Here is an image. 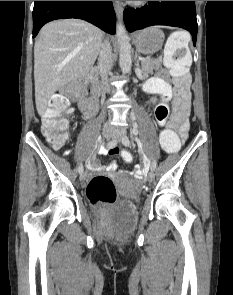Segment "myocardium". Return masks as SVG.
I'll list each match as a JSON object with an SVG mask.
<instances>
[{"instance_id":"1","label":"myocardium","mask_w":233,"mask_h":295,"mask_svg":"<svg viewBox=\"0 0 233 295\" xmlns=\"http://www.w3.org/2000/svg\"><path fill=\"white\" fill-rule=\"evenodd\" d=\"M130 3L134 6H143L148 3V1H130Z\"/></svg>"}]
</instances>
